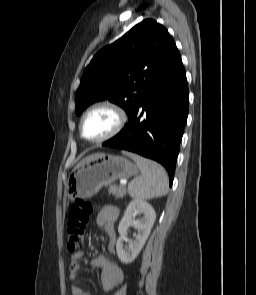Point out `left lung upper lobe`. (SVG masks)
Masks as SVG:
<instances>
[{
	"instance_id": "left-lung-upper-lobe-1",
	"label": "left lung upper lobe",
	"mask_w": 256,
	"mask_h": 295,
	"mask_svg": "<svg viewBox=\"0 0 256 295\" xmlns=\"http://www.w3.org/2000/svg\"><path fill=\"white\" fill-rule=\"evenodd\" d=\"M180 61L166 28L152 19L140 22L93 57L76 91V114L96 101L109 99L121 106L129 119L150 89Z\"/></svg>"
}]
</instances>
